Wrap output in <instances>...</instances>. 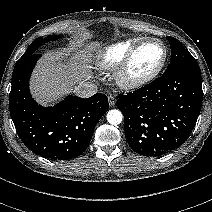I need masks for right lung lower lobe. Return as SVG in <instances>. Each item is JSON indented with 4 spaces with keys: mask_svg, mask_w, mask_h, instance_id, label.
I'll use <instances>...</instances> for the list:
<instances>
[{
    "mask_svg": "<svg viewBox=\"0 0 212 212\" xmlns=\"http://www.w3.org/2000/svg\"><path fill=\"white\" fill-rule=\"evenodd\" d=\"M40 55L19 59L14 67L9 106L21 141L37 155L69 160L81 155L95 126L109 108L108 98L67 96L53 107L38 105L29 92V79Z\"/></svg>",
    "mask_w": 212,
    "mask_h": 212,
    "instance_id": "98d812e1",
    "label": "right lung lower lobe"
}]
</instances>
